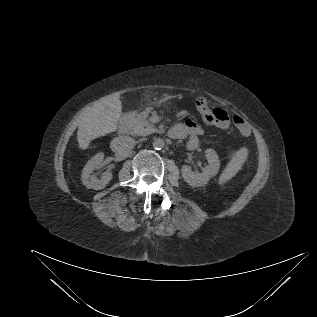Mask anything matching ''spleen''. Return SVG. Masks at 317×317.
Returning a JSON list of instances; mask_svg holds the SVG:
<instances>
[{
  "mask_svg": "<svg viewBox=\"0 0 317 317\" xmlns=\"http://www.w3.org/2000/svg\"><path fill=\"white\" fill-rule=\"evenodd\" d=\"M246 158L247 150L245 148L239 150L220 175L219 184H223L235 176L236 173L241 169Z\"/></svg>",
  "mask_w": 317,
  "mask_h": 317,
  "instance_id": "spleen-1",
  "label": "spleen"
}]
</instances>
